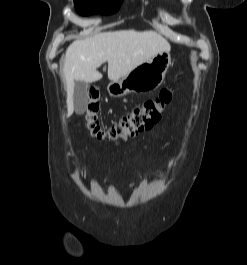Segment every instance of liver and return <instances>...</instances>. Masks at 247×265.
<instances>
[{"label": "liver", "mask_w": 247, "mask_h": 265, "mask_svg": "<svg viewBox=\"0 0 247 265\" xmlns=\"http://www.w3.org/2000/svg\"><path fill=\"white\" fill-rule=\"evenodd\" d=\"M168 41L152 30H120L98 33L76 40L66 50L64 75L67 92V116L73 112L76 81L95 82L102 78L97 71L108 62V78L118 81L159 52L170 51Z\"/></svg>", "instance_id": "6515ba94"}]
</instances>
